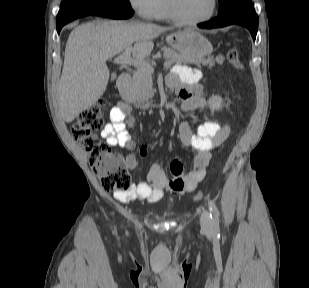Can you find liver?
Segmentation results:
<instances>
[{
    "label": "liver",
    "instance_id": "liver-1",
    "mask_svg": "<svg viewBox=\"0 0 309 288\" xmlns=\"http://www.w3.org/2000/svg\"><path fill=\"white\" fill-rule=\"evenodd\" d=\"M168 30L125 21H95L76 26L66 43L57 91L62 118L70 123L100 99L109 80V58L130 47L133 57L143 59L152 52L153 39Z\"/></svg>",
    "mask_w": 309,
    "mask_h": 288
}]
</instances>
